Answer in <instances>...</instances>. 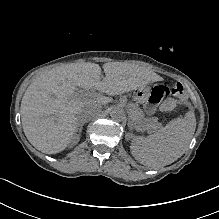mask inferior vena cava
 I'll return each instance as SVG.
<instances>
[{"label": "inferior vena cava", "instance_id": "inferior-vena-cava-1", "mask_svg": "<svg viewBox=\"0 0 219 219\" xmlns=\"http://www.w3.org/2000/svg\"><path fill=\"white\" fill-rule=\"evenodd\" d=\"M97 111L94 106L88 105L78 110L77 116L80 121L86 122L96 117Z\"/></svg>", "mask_w": 219, "mask_h": 219}]
</instances>
